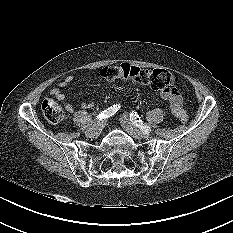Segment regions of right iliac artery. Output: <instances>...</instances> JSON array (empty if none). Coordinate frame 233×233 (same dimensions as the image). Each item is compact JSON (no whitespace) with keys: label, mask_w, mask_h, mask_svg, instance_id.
Here are the masks:
<instances>
[{"label":"right iliac artery","mask_w":233,"mask_h":233,"mask_svg":"<svg viewBox=\"0 0 233 233\" xmlns=\"http://www.w3.org/2000/svg\"><path fill=\"white\" fill-rule=\"evenodd\" d=\"M120 109V105H113L97 115L98 120L106 119L113 116Z\"/></svg>","instance_id":"82829eb1"}]
</instances>
